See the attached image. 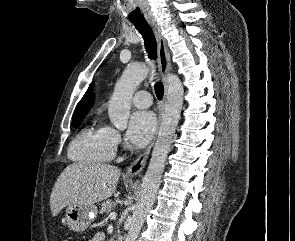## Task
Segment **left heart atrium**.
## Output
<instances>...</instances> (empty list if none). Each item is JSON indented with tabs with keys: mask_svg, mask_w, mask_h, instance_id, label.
Returning a JSON list of instances; mask_svg holds the SVG:
<instances>
[{
	"mask_svg": "<svg viewBox=\"0 0 295 241\" xmlns=\"http://www.w3.org/2000/svg\"><path fill=\"white\" fill-rule=\"evenodd\" d=\"M156 128V120L151 112H135L129 121L127 139L134 146L143 147L152 138Z\"/></svg>",
	"mask_w": 295,
	"mask_h": 241,
	"instance_id": "obj_1",
	"label": "left heart atrium"
}]
</instances>
